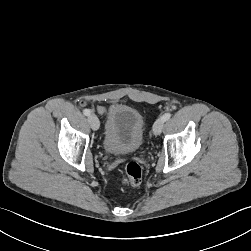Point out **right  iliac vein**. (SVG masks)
Returning a JSON list of instances; mask_svg holds the SVG:
<instances>
[{"label": "right iliac vein", "mask_w": 251, "mask_h": 251, "mask_svg": "<svg viewBox=\"0 0 251 251\" xmlns=\"http://www.w3.org/2000/svg\"><path fill=\"white\" fill-rule=\"evenodd\" d=\"M88 122L93 130H98L100 123L96 115L91 114L88 117Z\"/></svg>", "instance_id": "63e3f726"}]
</instances>
